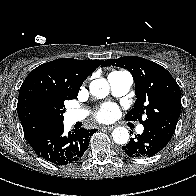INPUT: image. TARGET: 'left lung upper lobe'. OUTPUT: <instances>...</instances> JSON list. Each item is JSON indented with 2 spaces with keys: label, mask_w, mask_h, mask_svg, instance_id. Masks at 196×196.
Wrapping results in <instances>:
<instances>
[{
  "label": "left lung upper lobe",
  "mask_w": 196,
  "mask_h": 196,
  "mask_svg": "<svg viewBox=\"0 0 196 196\" xmlns=\"http://www.w3.org/2000/svg\"><path fill=\"white\" fill-rule=\"evenodd\" d=\"M102 66L125 68L134 78L137 100L125 119L139 120L171 139L181 112V92L172 75L161 65L137 56L105 60Z\"/></svg>",
  "instance_id": "1"
}]
</instances>
